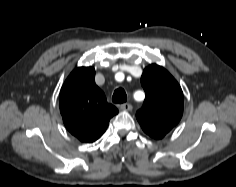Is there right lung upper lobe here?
Masks as SVG:
<instances>
[{
  "instance_id": "1",
  "label": "right lung upper lobe",
  "mask_w": 236,
  "mask_h": 187,
  "mask_svg": "<svg viewBox=\"0 0 236 187\" xmlns=\"http://www.w3.org/2000/svg\"><path fill=\"white\" fill-rule=\"evenodd\" d=\"M92 67L75 69L64 82L59 96L60 112L67 130L82 142H94L105 132L111 117L118 113L107 103L95 84Z\"/></svg>"
}]
</instances>
